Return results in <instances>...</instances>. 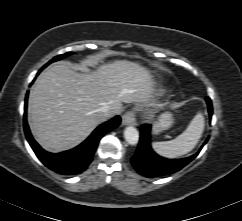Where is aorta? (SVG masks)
<instances>
[{
    "mask_svg": "<svg viewBox=\"0 0 242 221\" xmlns=\"http://www.w3.org/2000/svg\"><path fill=\"white\" fill-rule=\"evenodd\" d=\"M124 138L130 145H136L139 141V132L133 126H128L124 130Z\"/></svg>",
    "mask_w": 242,
    "mask_h": 221,
    "instance_id": "aorta-1",
    "label": "aorta"
}]
</instances>
